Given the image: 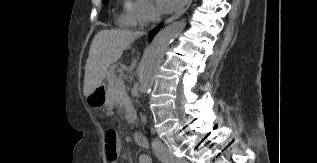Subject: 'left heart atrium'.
Instances as JSON below:
<instances>
[{
    "label": "left heart atrium",
    "mask_w": 317,
    "mask_h": 163,
    "mask_svg": "<svg viewBox=\"0 0 317 163\" xmlns=\"http://www.w3.org/2000/svg\"><path fill=\"white\" fill-rule=\"evenodd\" d=\"M182 0H155L157 8L164 13L173 11Z\"/></svg>",
    "instance_id": "39dd6f15"
}]
</instances>
